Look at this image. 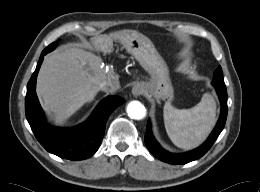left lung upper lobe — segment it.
Wrapping results in <instances>:
<instances>
[{
    "label": "left lung upper lobe",
    "mask_w": 260,
    "mask_h": 192,
    "mask_svg": "<svg viewBox=\"0 0 260 192\" xmlns=\"http://www.w3.org/2000/svg\"><path fill=\"white\" fill-rule=\"evenodd\" d=\"M213 76H214L213 81L224 82L222 69L220 66L217 68Z\"/></svg>",
    "instance_id": "left-lung-upper-lobe-1"
}]
</instances>
